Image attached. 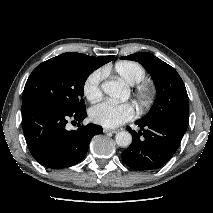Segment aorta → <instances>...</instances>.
I'll return each instance as SVG.
<instances>
[{
	"label": "aorta",
	"instance_id": "762f6f07",
	"mask_svg": "<svg viewBox=\"0 0 213 213\" xmlns=\"http://www.w3.org/2000/svg\"><path fill=\"white\" fill-rule=\"evenodd\" d=\"M101 88L106 95L113 99H121L126 94L124 87L114 80L102 83ZM115 141L120 147H128L132 143V136L127 131H121L116 134Z\"/></svg>",
	"mask_w": 213,
	"mask_h": 213
}]
</instances>
